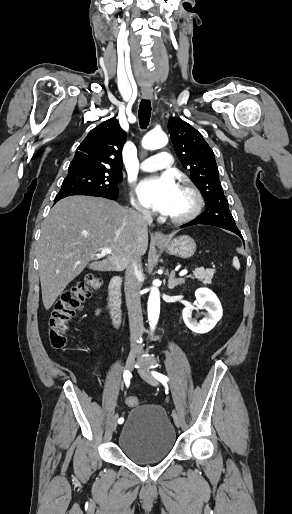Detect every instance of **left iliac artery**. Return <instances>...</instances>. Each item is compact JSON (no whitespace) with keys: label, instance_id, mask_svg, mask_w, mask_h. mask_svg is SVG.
<instances>
[{"label":"left iliac artery","instance_id":"1","mask_svg":"<svg viewBox=\"0 0 292 514\" xmlns=\"http://www.w3.org/2000/svg\"><path fill=\"white\" fill-rule=\"evenodd\" d=\"M152 375L163 384H165L169 380L167 376L156 371H152Z\"/></svg>","mask_w":292,"mask_h":514}]
</instances>
